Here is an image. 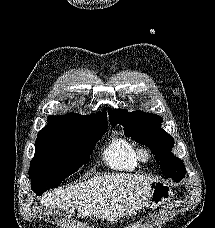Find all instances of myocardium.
I'll return each instance as SVG.
<instances>
[{"mask_svg": "<svg viewBox=\"0 0 215 228\" xmlns=\"http://www.w3.org/2000/svg\"><path fill=\"white\" fill-rule=\"evenodd\" d=\"M137 159L143 164L150 163L152 160V154L147 148L137 149Z\"/></svg>", "mask_w": 215, "mask_h": 228, "instance_id": "1", "label": "myocardium"}]
</instances>
